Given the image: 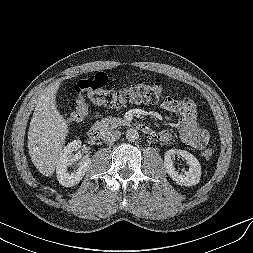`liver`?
I'll return each instance as SVG.
<instances>
[{
    "instance_id": "6515ba94",
    "label": "liver",
    "mask_w": 253,
    "mask_h": 253,
    "mask_svg": "<svg viewBox=\"0 0 253 253\" xmlns=\"http://www.w3.org/2000/svg\"><path fill=\"white\" fill-rule=\"evenodd\" d=\"M59 86L60 82H56L40 95L28 131L32 163L46 177L54 173L69 133L68 124L56 107Z\"/></svg>"
}]
</instances>
